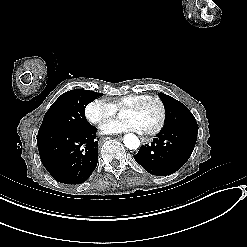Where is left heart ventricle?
<instances>
[{
	"mask_svg": "<svg viewBox=\"0 0 247 247\" xmlns=\"http://www.w3.org/2000/svg\"><path fill=\"white\" fill-rule=\"evenodd\" d=\"M161 108L157 101L147 100L138 110H124L122 116L135 118L144 132L153 130L157 127L160 120Z\"/></svg>",
	"mask_w": 247,
	"mask_h": 247,
	"instance_id": "left-heart-ventricle-1",
	"label": "left heart ventricle"
}]
</instances>
